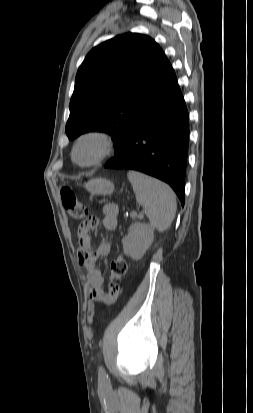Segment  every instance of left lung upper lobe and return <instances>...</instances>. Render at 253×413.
Returning a JSON list of instances; mask_svg holds the SVG:
<instances>
[{
  "mask_svg": "<svg viewBox=\"0 0 253 413\" xmlns=\"http://www.w3.org/2000/svg\"><path fill=\"white\" fill-rule=\"evenodd\" d=\"M169 66L161 47L142 34L126 33L93 48L76 75L65 129L68 138L107 132L117 156L129 121Z\"/></svg>",
  "mask_w": 253,
  "mask_h": 413,
  "instance_id": "obj_1",
  "label": "left lung upper lobe"
}]
</instances>
